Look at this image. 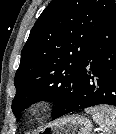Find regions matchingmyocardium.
Instances as JSON below:
<instances>
[{"mask_svg":"<svg viewBox=\"0 0 116 134\" xmlns=\"http://www.w3.org/2000/svg\"><path fill=\"white\" fill-rule=\"evenodd\" d=\"M50 109L48 100H40L29 106L27 110V118L31 121H37L44 117Z\"/></svg>","mask_w":116,"mask_h":134,"instance_id":"f54148a6","label":"myocardium"}]
</instances>
